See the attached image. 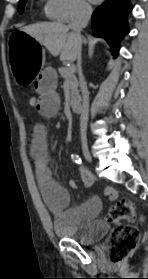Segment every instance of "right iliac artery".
I'll return each mask as SVG.
<instances>
[{"mask_svg": "<svg viewBox=\"0 0 148 279\" xmlns=\"http://www.w3.org/2000/svg\"><path fill=\"white\" fill-rule=\"evenodd\" d=\"M72 160L77 163V164H80L81 163V158L79 157V155H76V154H73L71 156Z\"/></svg>", "mask_w": 148, "mask_h": 279, "instance_id": "right-iliac-artery-1", "label": "right iliac artery"}]
</instances>
